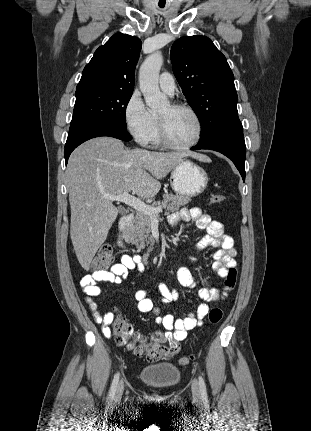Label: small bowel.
Returning <instances> with one entry per match:
<instances>
[{
    "label": "small bowel",
    "mask_w": 311,
    "mask_h": 431,
    "mask_svg": "<svg viewBox=\"0 0 311 431\" xmlns=\"http://www.w3.org/2000/svg\"><path fill=\"white\" fill-rule=\"evenodd\" d=\"M168 221L171 226H175L181 221H194L198 228L206 231V235L198 242L196 249L197 251H202L208 247L218 248L214 253V263L212 266L213 272L217 277L225 278L228 268L236 266L234 240L231 236L224 234V227L221 222L212 220L210 216L203 214L199 208H183L170 214ZM146 265L147 261L142 260L140 256L125 254L121 257L120 262L111 265L108 270L95 271L82 278L80 283L85 294V301L93 312L96 322L103 326L102 330L106 337H111L110 329L106 326L109 320H103L98 315L96 311L97 304L92 299V297L101 294V289L97 284L100 282L120 283L128 276L130 271L135 269L142 271ZM177 280L185 287L196 289L197 294L204 301H218L226 295L224 291H220L217 288H197L191 273L184 266L178 268ZM158 290L161 295V303L178 300V292L167 284L160 283ZM134 297L137 301L138 310L141 313H151L155 317V322L167 330L166 334L156 333L153 337L165 336L178 342L182 341L186 338L189 330L202 325L204 317L209 312V306L206 303H202L195 310L191 311L188 316L176 319L171 314L162 316L160 308L149 297L148 291L143 289L137 290Z\"/></svg>",
    "instance_id": "1"
}]
</instances>
